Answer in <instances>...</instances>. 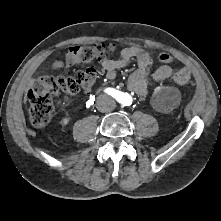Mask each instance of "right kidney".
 <instances>
[{"mask_svg": "<svg viewBox=\"0 0 221 221\" xmlns=\"http://www.w3.org/2000/svg\"><path fill=\"white\" fill-rule=\"evenodd\" d=\"M69 121H70L69 118H64V119L62 120V124H63V125H67V124L69 123Z\"/></svg>", "mask_w": 221, "mask_h": 221, "instance_id": "ca27d5eb", "label": "right kidney"}]
</instances>
